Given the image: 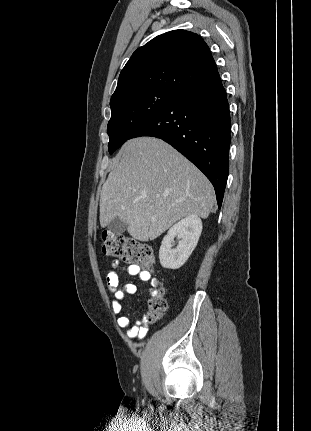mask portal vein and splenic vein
Masks as SVG:
<instances>
[{"label":"portal vein and splenic vein","mask_w":311,"mask_h":431,"mask_svg":"<svg viewBox=\"0 0 311 431\" xmlns=\"http://www.w3.org/2000/svg\"><path fill=\"white\" fill-rule=\"evenodd\" d=\"M142 198H146V196H142Z\"/></svg>","instance_id":"portal-vein-and-splenic-vein-1"}]
</instances>
